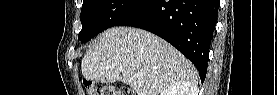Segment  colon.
<instances>
[{
	"label": "colon",
	"instance_id": "obj_1",
	"mask_svg": "<svg viewBox=\"0 0 277 95\" xmlns=\"http://www.w3.org/2000/svg\"><path fill=\"white\" fill-rule=\"evenodd\" d=\"M85 88L90 95H133V91L128 86L115 88L104 82H86Z\"/></svg>",
	"mask_w": 277,
	"mask_h": 95
}]
</instances>
